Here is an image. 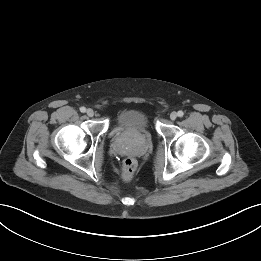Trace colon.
I'll return each instance as SVG.
<instances>
[{
    "label": "colon",
    "instance_id": "1",
    "mask_svg": "<svg viewBox=\"0 0 261 261\" xmlns=\"http://www.w3.org/2000/svg\"><path fill=\"white\" fill-rule=\"evenodd\" d=\"M137 162L134 158H126L122 164V176L125 179H130L135 173Z\"/></svg>",
    "mask_w": 261,
    "mask_h": 261
}]
</instances>
